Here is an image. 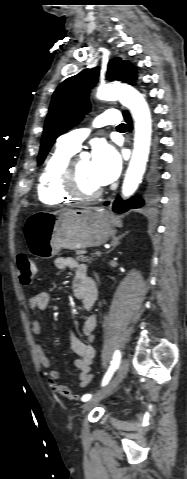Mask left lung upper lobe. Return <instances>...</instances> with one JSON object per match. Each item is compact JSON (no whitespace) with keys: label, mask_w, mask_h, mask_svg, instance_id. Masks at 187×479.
<instances>
[{"label":"left lung upper lobe","mask_w":187,"mask_h":479,"mask_svg":"<svg viewBox=\"0 0 187 479\" xmlns=\"http://www.w3.org/2000/svg\"><path fill=\"white\" fill-rule=\"evenodd\" d=\"M97 68L86 69L64 80L55 91L46 118L38 165H41L55 139L82 121L90 111L89 90L96 84ZM107 80H118L134 85L136 69L129 61L120 58L110 60Z\"/></svg>","instance_id":"5c2ea615"}]
</instances>
